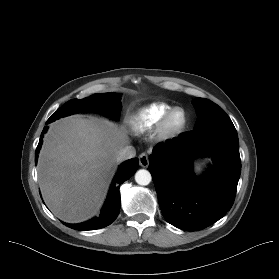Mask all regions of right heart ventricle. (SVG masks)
Segmentation results:
<instances>
[{
	"label": "right heart ventricle",
	"instance_id": "e07e8e85",
	"mask_svg": "<svg viewBox=\"0 0 279 279\" xmlns=\"http://www.w3.org/2000/svg\"><path fill=\"white\" fill-rule=\"evenodd\" d=\"M172 108L171 105L163 102L152 103L141 109L131 121L136 133H145L159 124L163 115Z\"/></svg>",
	"mask_w": 279,
	"mask_h": 279
}]
</instances>
